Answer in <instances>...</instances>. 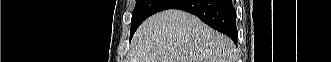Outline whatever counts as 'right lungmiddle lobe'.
Returning a JSON list of instances; mask_svg holds the SVG:
<instances>
[{"instance_id": "right-lung-middle-lobe-1", "label": "right lung middle lobe", "mask_w": 331, "mask_h": 62, "mask_svg": "<svg viewBox=\"0 0 331 62\" xmlns=\"http://www.w3.org/2000/svg\"><path fill=\"white\" fill-rule=\"evenodd\" d=\"M172 0H137L132 13L130 39L139 25L149 16L162 11Z\"/></svg>"}]
</instances>
